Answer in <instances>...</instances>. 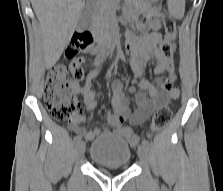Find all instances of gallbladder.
<instances>
[{"label":"gallbladder","mask_w":223,"mask_h":191,"mask_svg":"<svg viewBox=\"0 0 223 191\" xmlns=\"http://www.w3.org/2000/svg\"><path fill=\"white\" fill-rule=\"evenodd\" d=\"M89 18L90 12L87 8H84L79 16L76 28L81 30L87 28L90 23Z\"/></svg>","instance_id":"bac80fb5"}]
</instances>
